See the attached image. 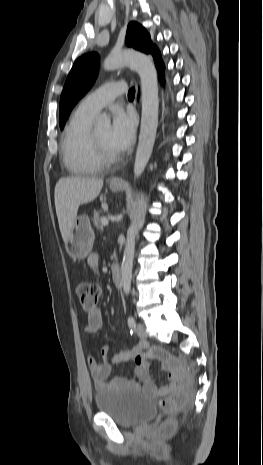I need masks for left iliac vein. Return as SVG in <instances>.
Returning a JSON list of instances; mask_svg holds the SVG:
<instances>
[{
    "label": "left iliac vein",
    "mask_w": 263,
    "mask_h": 465,
    "mask_svg": "<svg viewBox=\"0 0 263 465\" xmlns=\"http://www.w3.org/2000/svg\"><path fill=\"white\" fill-rule=\"evenodd\" d=\"M135 332L141 339L147 338L146 328L142 323H137V325L135 326Z\"/></svg>",
    "instance_id": "left-iliac-vein-1"
}]
</instances>
